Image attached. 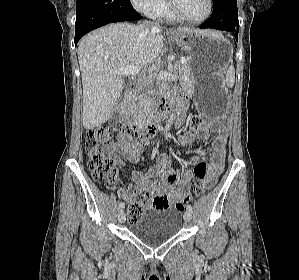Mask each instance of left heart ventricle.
<instances>
[{
	"label": "left heart ventricle",
	"instance_id": "1",
	"mask_svg": "<svg viewBox=\"0 0 299 280\" xmlns=\"http://www.w3.org/2000/svg\"><path fill=\"white\" fill-rule=\"evenodd\" d=\"M177 5L185 16L190 19L202 18L208 9L207 0H176Z\"/></svg>",
	"mask_w": 299,
	"mask_h": 280
}]
</instances>
